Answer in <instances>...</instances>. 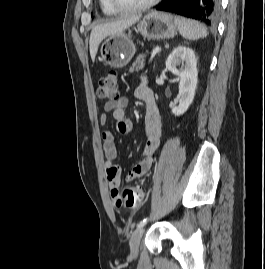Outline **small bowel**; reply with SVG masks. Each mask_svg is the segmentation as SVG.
<instances>
[{"mask_svg": "<svg viewBox=\"0 0 265 269\" xmlns=\"http://www.w3.org/2000/svg\"><path fill=\"white\" fill-rule=\"evenodd\" d=\"M135 97L145 105L144 128L147 140L139 161L127 175V181H133L145 175L150 170L154 154L160 146L162 137V123L159 110L155 102L153 91L145 81L136 88ZM127 103L128 100L125 97L118 98L114 101H107L104 104V113L99 117V124L106 126L108 124V113L112 112L116 120L117 132L121 135L129 134L132 130V122L125 115ZM103 151L106 158L104 165L105 175L111 196L114 204L120 206L117 194L121 184V169L115 164L117 147L114 135L108 130L103 132Z\"/></svg>", "mask_w": 265, "mask_h": 269, "instance_id": "obj_1", "label": "small bowel"}]
</instances>
